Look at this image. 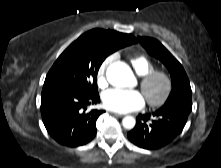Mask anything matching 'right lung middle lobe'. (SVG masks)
<instances>
[{"label": "right lung middle lobe", "mask_w": 221, "mask_h": 168, "mask_svg": "<svg viewBox=\"0 0 221 168\" xmlns=\"http://www.w3.org/2000/svg\"><path fill=\"white\" fill-rule=\"evenodd\" d=\"M118 48L98 44L90 38H78L56 60L44 86L71 88L85 94H98L97 73L104 59Z\"/></svg>", "instance_id": "1"}]
</instances>
